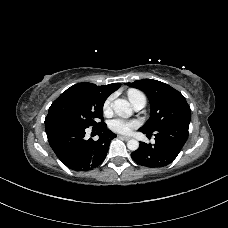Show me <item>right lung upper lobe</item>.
Instances as JSON below:
<instances>
[{
	"mask_svg": "<svg viewBox=\"0 0 228 228\" xmlns=\"http://www.w3.org/2000/svg\"><path fill=\"white\" fill-rule=\"evenodd\" d=\"M79 85L81 86H86L98 93H100L101 95L108 97L112 92L116 91L119 87H120V83H113V84H109V85H103V86H97L95 84L92 83H79Z\"/></svg>",
	"mask_w": 228,
	"mask_h": 228,
	"instance_id": "right-lung-upper-lobe-1",
	"label": "right lung upper lobe"
}]
</instances>
